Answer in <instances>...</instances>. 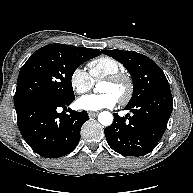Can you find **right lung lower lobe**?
I'll return each mask as SVG.
<instances>
[{"label": "right lung lower lobe", "instance_id": "98d812e1", "mask_svg": "<svg viewBox=\"0 0 193 193\" xmlns=\"http://www.w3.org/2000/svg\"><path fill=\"white\" fill-rule=\"evenodd\" d=\"M73 100L39 96L15 107L20 133L37 154L57 158L77 146L81 127L89 119L87 112L69 109L67 114L56 111L60 106L66 109Z\"/></svg>", "mask_w": 193, "mask_h": 193}]
</instances>
